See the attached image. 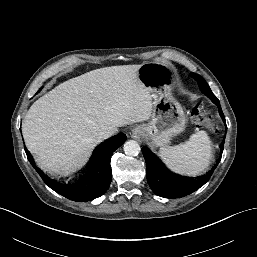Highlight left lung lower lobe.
Returning <instances> with one entry per match:
<instances>
[{"label": "left lung lower lobe", "mask_w": 257, "mask_h": 257, "mask_svg": "<svg viewBox=\"0 0 257 257\" xmlns=\"http://www.w3.org/2000/svg\"><path fill=\"white\" fill-rule=\"evenodd\" d=\"M217 106L224 119L220 103ZM223 148L224 142L220 145L221 152L223 151ZM142 153L146 161L148 184L155 194L164 198H180L198 190L210 179L221 160L220 158L215 167L206 175L193 178L172 173L165 167L160 159L146 147L142 148Z\"/></svg>", "instance_id": "0a47b994"}]
</instances>
